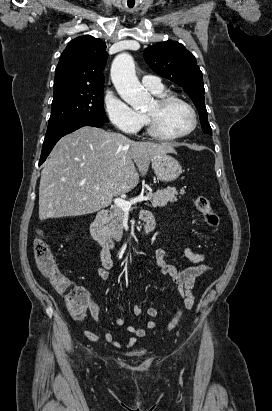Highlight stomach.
I'll return each instance as SVG.
<instances>
[{"instance_id": "stomach-1", "label": "stomach", "mask_w": 272, "mask_h": 411, "mask_svg": "<svg viewBox=\"0 0 272 411\" xmlns=\"http://www.w3.org/2000/svg\"><path fill=\"white\" fill-rule=\"evenodd\" d=\"M151 164L156 176L164 182L176 180L182 172L179 162L167 154L152 158Z\"/></svg>"}]
</instances>
